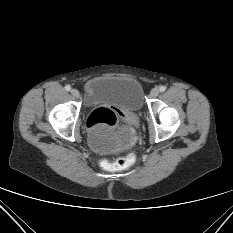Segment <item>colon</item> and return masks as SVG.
<instances>
[{
	"instance_id": "colon-1",
	"label": "colon",
	"mask_w": 233,
	"mask_h": 233,
	"mask_svg": "<svg viewBox=\"0 0 233 233\" xmlns=\"http://www.w3.org/2000/svg\"><path fill=\"white\" fill-rule=\"evenodd\" d=\"M117 122L116 113L109 108L95 109L88 117L87 124L91 128L113 127ZM135 161V154L129 153L113 162H106L105 166L109 170L119 171L129 168Z\"/></svg>"
}]
</instances>
